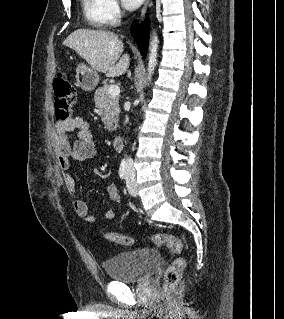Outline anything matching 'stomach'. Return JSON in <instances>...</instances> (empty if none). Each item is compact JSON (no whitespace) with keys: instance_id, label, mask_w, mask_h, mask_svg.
<instances>
[{"instance_id":"stomach-1","label":"stomach","mask_w":284,"mask_h":319,"mask_svg":"<svg viewBox=\"0 0 284 319\" xmlns=\"http://www.w3.org/2000/svg\"><path fill=\"white\" fill-rule=\"evenodd\" d=\"M76 80L81 89L92 91L99 82V75L91 67L79 64L76 69Z\"/></svg>"}]
</instances>
